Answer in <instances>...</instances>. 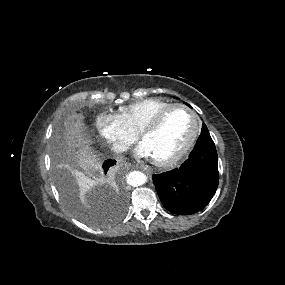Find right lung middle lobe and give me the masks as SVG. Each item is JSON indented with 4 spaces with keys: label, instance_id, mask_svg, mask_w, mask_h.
Here are the masks:
<instances>
[{
    "label": "right lung middle lobe",
    "instance_id": "right-lung-middle-lobe-1",
    "mask_svg": "<svg viewBox=\"0 0 285 285\" xmlns=\"http://www.w3.org/2000/svg\"><path fill=\"white\" fill-rule=\"evenodd\" d=\"M57 181L61 194L67 203V205L74 211V213L84 221L92 225H105L106 223L101 221L99 218L87 215L76 205V199L72 191L71 185L66 181V178L62 172L57 173Z\"/></svg>",
    "mask_w": 285,
    "mask_h": 285
}]
</instances>
